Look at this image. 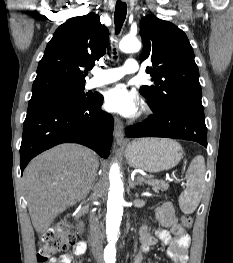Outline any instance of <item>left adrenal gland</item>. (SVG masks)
I'll list each match as a JSON object with an SVG mask.
<instances>
[{"label": "left adrenal gland", "mask_w": 233, "mask_h": 263, "mask_svg": "<svg viewBox=\"0 0 233 263\" xmlns=\"http://www.w3.org/2000/svg\"><path fill=\"white\" fill-rule=\"evenodd\" d=\"M128 183H129V188L130 189H134L135 188V186H137V185H142V182H140V181H138V182H132V180L129 178V180H128Z\"/></svg>", "instance_id": "left-adrenal-gland-1"}]
</instances>
